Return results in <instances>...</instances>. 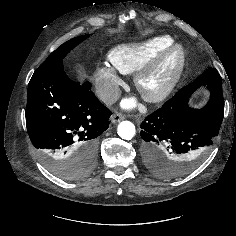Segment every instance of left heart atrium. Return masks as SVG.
<instances>
[{
  "label": "left heart atrium",
  "mask_w": 236,
  "mask_h": 236,
  "mask_svg": "<svg viewBox=\"0 0 236 236\" xmlns=\"http://www.w3.org/2000/svg\"><path fill=\"white\" fill-rule=\"evenodd\" d=\"M133 105H134V102L132 100H126L123 102V106L127 108L132 107Z\"/></svg>",
  "instance_id": "left-heart-atrium-1"
}]
</instances>
